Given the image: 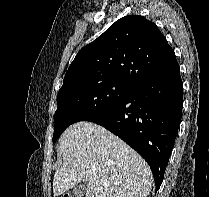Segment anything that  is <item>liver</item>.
<instances>
[{
  "mask_svg": "<svg viewBox=\"0 0 209 197\" xmlns=\"http://www.w3.org/2000/svg\"><path fill=\"white\" fill-rule=\"evenodd\" d=\"M57 152L63 164L54 174V197L81 181L86 197H146L151 191L153 177L145 160L100 125L72 124L61 135Z\"/></svg>",
  "mask_w": 209,
  "mask_h": 197,
  "instance_id": "obj_1",
  "label": "liver"
}]
</instances>
